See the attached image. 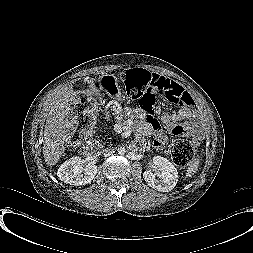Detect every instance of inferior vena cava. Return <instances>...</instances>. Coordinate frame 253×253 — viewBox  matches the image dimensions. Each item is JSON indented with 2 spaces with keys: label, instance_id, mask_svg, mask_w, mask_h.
<instances>
[{
  "label": "inferior vena cava",
  "instance_id": "inferior-vena-cava-1",
  "mask_svg": "<svg viewBox=\"0 0 253 253\" xmlns=\"http://www.w3.org/2000/svg\"><path fill=\"white\" fill-rule=\"evenodd\" d=\"M107 157H111L113 155V151L108 150L105 154Z\"/></svg>",
  "mask_w": 253,
  "mask_h": 253
}]
</instances>
